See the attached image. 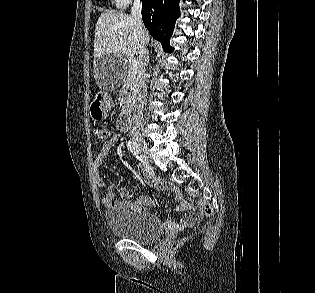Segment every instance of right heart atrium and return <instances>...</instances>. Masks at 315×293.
Returning a JSON list of instances; mask_svg holds the SVG:
<instances>
[{
	"label": "right heart atrium",
	"instance_id": "1",
	"mask_svg": "<svg viewBox=\"0 0 315 293\" xmlns=\"http://www.w3.org/2000/svg\"><path fill=\"white\" fill-rule=\"evenodd\" d=\"M114 2L117 7L124 9L129 6L132 0H114Z\"/></svg>",
	"mask_w": 315,
	"mask_h": 293
}]
</instances>
